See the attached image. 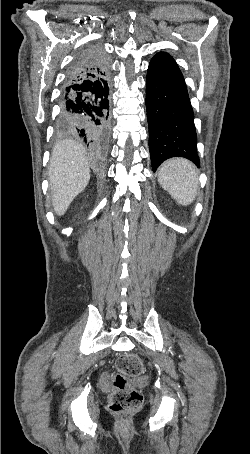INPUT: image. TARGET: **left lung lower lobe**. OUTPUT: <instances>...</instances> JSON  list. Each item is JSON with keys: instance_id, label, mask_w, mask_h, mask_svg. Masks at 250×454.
Listing matches in <instances>:
<instances>
[{"instance_id": "left-lung-lower-lobe-1", "label": "left lung lower lobe", "mask_w": 250, "mask_h": 454, "mask_svg": "<svg viewBox=\"0 0 250 454\" xmlns=\"http://www.w3.org/2000/svg\"><path fill=\"white\" fill-rule=\"evenodd\" d=\"M146 109L152 169L171 157H184L200 167L194 113L183 75L166 52L157 53L148 67Z\"/></svg>"}]
</instances>
